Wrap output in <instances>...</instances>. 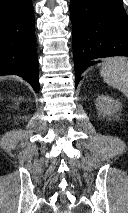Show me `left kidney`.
Returning <instances> with one entry per match:
<instances>
[{
    "label": "left kidney",
    "instance_id": "1",
    "mask_svg": "<svg viewBox=\"0 0 128 213\" xmlns=\"http://www.w3.org/2000/svg\"><path fill=\"white\" fill-rule=\"evenodd\" d=\"M96 109L103 116H110L121 111L122 105L118 100L111 97L98 95L96 98Z\"/></svg>",
    "mask_w": 128,
    "mask_h": 213
}]
</instances>
